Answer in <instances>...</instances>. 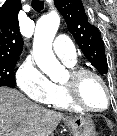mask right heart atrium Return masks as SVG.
Returning a JSON list of instances; mask_svg holds the SVG:
<instances>
[{
  "instance_id": "obj_1",
  "label": "right heart atrium",
  "mask_w": 117,
  "mask_h": 136,
  "mask_svg": "<svg viewBox=\"0 0 117 136\" xmlns=\"http://www.w3.org/2000/svg\"><path fill=\"white\" fill-rule=\"evenodd\" d=\"M16 83L25 97L49 104L55 84L30 59L25 60L16 72Z\"/></svg>"
}]
</instances>
